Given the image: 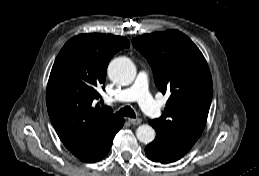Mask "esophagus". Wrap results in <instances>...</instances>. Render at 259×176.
I'll list each match as a JSON object with an SVG mask.
<instances>
[{
    "label": "esophagus",
    "instance_id": "1",
    "mask_svg": "<svg viewBox=\"0 0 259 176\" xmlns=\"http://www.w3.org/2000/svg\"><path fill=\"white\" fill-rule=\"evenodd\" d=\"M128 121L132 125H139L142 122V119H140V118H129Z\"/></svg>",
    "mask_w": 259,
    "mask_h": 176
}]
</instances>
